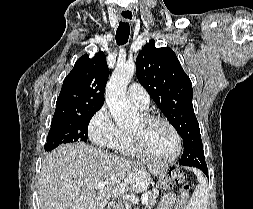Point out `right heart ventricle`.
<instances>
[{
  "label": "right heart ventricle",
  "instance_id": "e07e8e85",
  "mask_svg": "<svg viewBox=\"0 0 253 209\" xmlns=\"http://www.w3.org/2000/svg\"><path fill=\"white\" fill-rule=\"evenodd\" d=\"M126 133V138L125 141L123 143V145L119 148L123 153H125L126 155L132 156V157H138V153L136 152L134 145H133V141L131 138L130 133L125 132Z\"/></svg>",
  "mask_w": 253,
  "mask_h": 209
}]
</instances>
